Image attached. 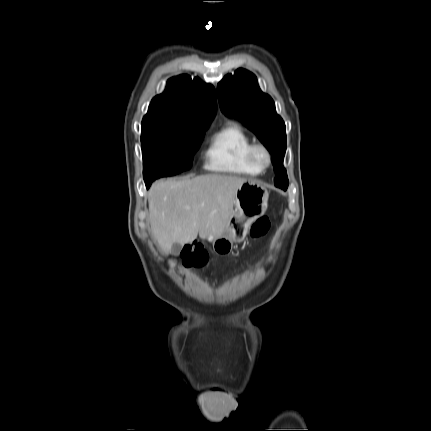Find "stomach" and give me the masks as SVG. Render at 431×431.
I'll use <instances>...</instances> for the list:
<instances>
[{"mask_svg": "<svg viewBox=\"0 0 431 431\" xmlns=\"http://www.w3.org/2000/svg\"><path fill=\"white\" fill-rule=\"evenodd\" d=\"M268 190L253 181L243 183L237 190L234 210L224 231L219 236L209 237L217 254H228L233 243L242 242L253 221L261 217L268 207Z\"/></svg>", "mask_w": 431, "mask_h": 431, "instance_id": "1", "label": "stomach"}]
</instances>
